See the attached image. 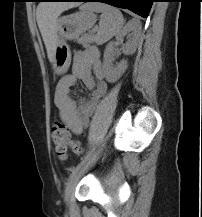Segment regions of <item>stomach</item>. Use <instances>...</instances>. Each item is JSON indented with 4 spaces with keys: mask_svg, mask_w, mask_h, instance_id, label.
Listing matches in <instances>:
<instances>
[{
    "mask_svg": "<svg viewBox=\"0 0 202 217\" xmlns=\"http://www.w3.org/2000/svg\"><path fill=\"white\" fill-rule=\"evenodd\" d=\"M96 16L92 11L83 9L63 16L57 21V43L54 52V70L58 75L67 72L71 61V51L66 40L77 39L86 30L93 27Z\"/></svg>",
    "mask_w": 202,
    "mask_h": 217,
    "instance_id": "stomach-1",
    "label": "stomach"
}]
</instances>
